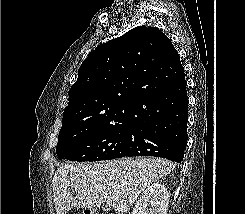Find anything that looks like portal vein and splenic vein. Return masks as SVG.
I'll list each match as a JSON object with an SVG mask.
<instances>
[{
    "label": "portal vein and splenic vein",
    "mask_w": 245,
    "mask_h": 214,
    "mask_svg": "<svg viewBox=\"0 0 245 214\" xmlns=\"http://www.w3.org/2000/svg\"><path fill=\"white\" fill-rule=\"evenodd\" d=\"M112 199H114V200H115V199H117V196H116V195H114V196L112 197Z\"/></svg>",
    "instance_id": "portal-vein-and-splenic-vein-1"
}]
</instances>
